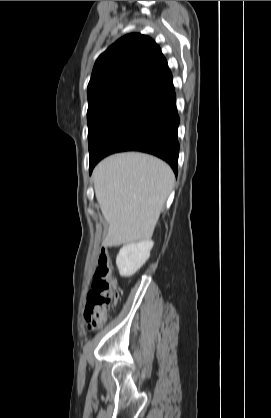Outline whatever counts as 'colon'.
Segmentation results:
<instances>
[{"mask_svg":"<svg viewBox=\"0 0 271 418\" xmlns=\"http://www.w3.org/2000/svg\"><path fill=\"white\" fill-rule=\"evenodd\" d=\"M117 298L116 283L111 271L109 257L103 250L98 259L84 311L88 328L97 329L105 323Z\"/></svg>","mask_w":271,"mask_h":418,"instance_id":"colon-1","label":"colon"}]
</instances>
